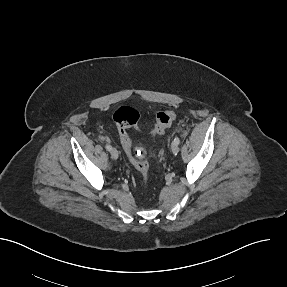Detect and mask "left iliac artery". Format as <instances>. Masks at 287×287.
Masks as SVG:
<instances>
[{"mask_svg":"<svg viewBox=\"0 0 287 287\" xmlns=\"http://www.w3.org/2000/svg\"><path fill=\"white\" fill-rule=\"evenodd\" d=\"M174 142L179 144L180 143V139L178 137H175Z\"/></svg>","mask_w":287,"mask_h":287,"instance_id":"44dca946","label":"left iliac artery"}]
</instances>
